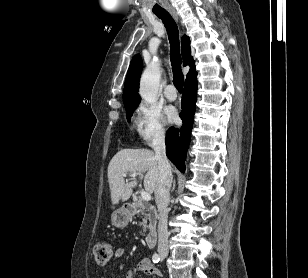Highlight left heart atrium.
Here are the masks:
<instances>
[{
    "label": "left heart atrium",
    "instance_id": "left-heart-atrium-1",
    "mask_svg": "<svg viewBox=\"0 0 308 278\" xmlns=\"http://www.w3.org/2000/svg\"><path fill=\"white\" fill-rule=\"evenodd\" d=\"M166 115H167V118L170 122H174L178 118L177 110L172 106H170L166 109Z\"/></svg>",
    "mask_w": 308,
    "mask_h": 278
}]
</instances>
